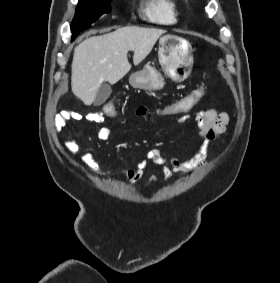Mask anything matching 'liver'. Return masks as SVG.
Wrapping results in <instances>:
<instances>
[{
	"mask_svg": "<svg viewBox=\"0 0 280 283\" xmlns=\"http://www.w3.org/2000/svg\"><path fill=\"white\" fill-rule=\"evenodd\" d=\"M164 33L162 29L130 26L84 40L74 49L73 94L85 105H91L103 82L115 84L130 71L128 51L134 52L133 63L138 65Z\"/></svg>",
	"mask_w": 280,
	"mask_h": 283,
	"instance_id": "obj_1",
	"label": "liver"
}]
</instances>
